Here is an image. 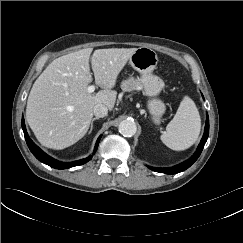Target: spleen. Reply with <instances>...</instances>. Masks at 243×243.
<instances>
[{
  "label": "spleen",
  "mask_w": 243,
  "mask_h": 243,
  "mask_svg": "<svg viewBox=\"0 0 243 243\" xmlns=\"http://www.w3.org/2000/svg\"><path fill=\"white\" fill-rule=\"evenodd\" d=\"M201 119L194 101L185 96L174 118L169 122L161 141L170 149L182 151L191 147L198 139Z\"/></svg>",
  "instance_id": "1"
}]
</instances>
